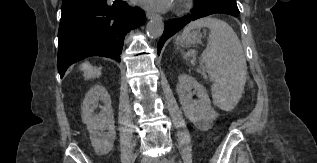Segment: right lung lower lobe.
Here are the masks:
<instances>
[{"mask_svg": "<svg viewBox=\"0 0 317 163\" xmlns=\"http://www.w3.org/2000/svg\"><path fill=\"white\" fill-rule=\"evenodd\" d=\"M138 7L121 0H73L62 5L58 32V71L89 56H103L120 62L124 37L145 23Z\"/></svg>", "mask_w": 317, "mask_h": 163, "instance_id": "1", "label": "right lung lower lobe"}]
</instances>
